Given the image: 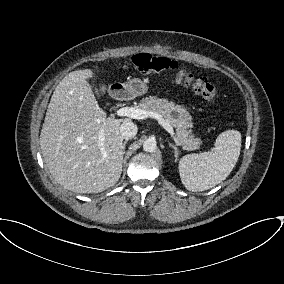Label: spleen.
Returning <instances> with one entry per match:
<instances>
[{
	"label": "spleen",
	"instance_id": "1",
	"mask_svg": "<svg viewBox=\"0 0 284 284\" xmlns=\"http://www.w3.org/2000/svg\"><path fill=\"white\" fill-rule=\"evenodd\" d=\"M214 145L211 151L188 154L180 159L179 174L187 190H208L228 177L240 155L241 133L224 131Z\"/></svg>",
	"mask_w": 284,
	"mask_h": 284
}]
</instances>
